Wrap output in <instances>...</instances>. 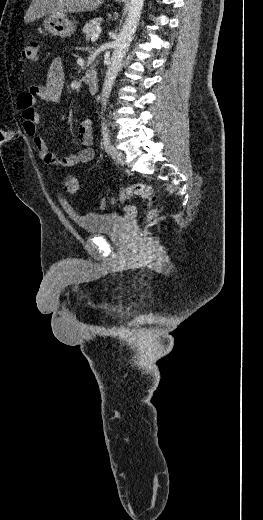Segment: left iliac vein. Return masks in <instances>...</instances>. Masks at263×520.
Masks as SVG:
<instances>
[{"instance_id":"obj_1","label":"left iliac vein","mask_w":263,"mask_h":520,"mask_svg":"<svg viewBox=\"0 0 263 520\" xmlns=\"http://www.w3.org/2000/svg\"><path fill=\"white\" fill-rule=\"evenodd\" d=\"M110 153H111L112 159L116 163L121 164V165L125 164V155L121 151L117 150L114 146H111Z\"/></svg>"}]
</instances>
